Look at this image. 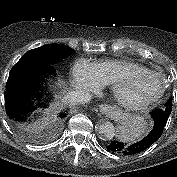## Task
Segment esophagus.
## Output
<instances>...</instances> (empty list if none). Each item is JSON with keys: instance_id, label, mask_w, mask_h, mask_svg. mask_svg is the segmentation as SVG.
I'll list each match as a JSON object with an SVG mask.
<instances>
[{"instance_id": "esophagus-1", "label": "esophagus", "mask_w": 177, "mask_h": 177, "mask_svg": "<svg viewBox=\"0 0 177 177\" xmlns=\"http://www.w3.org/2000/svg\"><path fill=\"white\" fill-rule=\"evenodd\" d=\"M99 110L103 114L110 115L113 112L114 108L110 105H107V104H101L99 106Z\"/></svg>"}]
</instances>
